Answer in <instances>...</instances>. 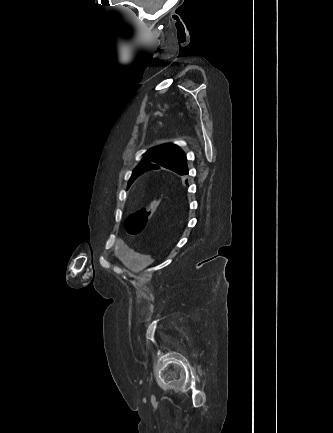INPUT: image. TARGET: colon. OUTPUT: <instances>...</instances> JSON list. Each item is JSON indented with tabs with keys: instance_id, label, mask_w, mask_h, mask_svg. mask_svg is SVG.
<instances>
[{
	"instance_id": "colon-1",
	"label": "colon",
	"mask_w": 333,
	"mask_h": 433,
	"mask_svg": "<svg viewBox=\"0 0 333 433\" xmlns=\"http://www.w3.org/2000/svg\"><path fill=\"white\" fill-rule=\"evenodd\" d=\"M160 201L159 198H156L147 207H143L129 215L125 222L128 234L136 236L143 232L159 207Z\"/></svg>"
}]
</instances>
